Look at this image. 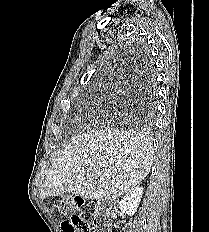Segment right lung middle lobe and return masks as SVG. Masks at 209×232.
Instances as JSON below:
<instances>
[{"mask_svg":"<svg viewBox=\"0 0 209 232\" xmlns=\"http://www.w3.org/2000/svg\"><path fill=\"white\" fill-rule=\"evenodd\" d=\"M147 80L148 81L146 84V96L143 99V105L140 114L143 117L142 119L144 121V125L149 128L153 125L154 122L156 92L153 85L150 83L151 80H149L148 77Z\"/></svg>","mask_w":209,"mask_h":232,"instance_id":"right-lung-middle-lobe-1","label":"right lung middle lobe"}]
</instances>
